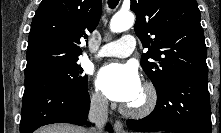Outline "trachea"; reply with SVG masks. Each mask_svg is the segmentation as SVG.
Segmentation results:
<instances>
[{
	"label": "trachea",
	"mask_w": 221,
	"mask_h": 133,
	"mask_svg": "<svg viewBox=\"0 0 221 133\" xmlns=\"http://www.w3.org/2000/svg\"><path fill=\"white\" fill-rule=\"evenodd\" d=\"M119 0H109L108 4L110 6V8H115L116 5L118 4Z\"/></svg>",
	"instance_id": "trachea-1"
}]
</instances>
